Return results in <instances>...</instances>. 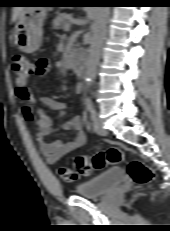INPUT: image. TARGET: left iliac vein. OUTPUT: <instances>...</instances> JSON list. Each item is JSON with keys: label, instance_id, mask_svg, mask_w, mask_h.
Returning a JSON list of instances; mask_svg holds the SVG:
<instances>
[{"label": "left iliac vein", "instance_id": "obj_1", "mask_svg": "<svg viewBox=\"0 0 170 231\" xmlns=\"http://www.w3.org/2000/svg\"><path fill=\"white\" fill-rule=\"evenodd\" d=\"M93 129L96 134L100 136H106L108 134L107 130L104 128L102 123L99 121V118L96 117L93 122Z\"/></svg>", "mask_w": 170, "mask_h": 231}]
</instances>
